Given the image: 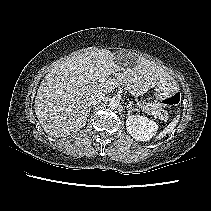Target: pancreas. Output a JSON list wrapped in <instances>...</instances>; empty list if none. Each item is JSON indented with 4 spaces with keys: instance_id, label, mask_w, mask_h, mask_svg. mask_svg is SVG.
<instances>
[{
    "instance_id": "obj_1",
    "label": "pancreas",
    "mask_w": 211,
    "mask_h": 211,
    "mask_svg": "<svg viewBox=\"0 0 211 211\" xmlns=\"http://www.w3.org/2000/svg\"><path fill=\"white\" fill-rule=\"evenodd\" d=\"M144 106L156 111L157 115L159 116L160 120L167 121L168 120V113L166 110L162 108V105L157 102L146 103L143 102Z\"/></svg>"
}]
</instances>
